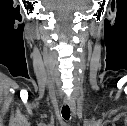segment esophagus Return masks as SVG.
I'll use <instances>...</instances> for the list:
<instances>
[{
    "mask_svg": "<svg viewBox=\"0 0 127 126\" xmlns=\"http://www.w3.org/2000/svg\"><path fill=\"white\" fill-rule=\"evenodd\" d=\"M65 104H67L70 107L73 114L76 113V105H75V102L73 100H70V99L66 98L65 99Z\"/></svg>",
    "mask_w": 127,
    "mask_h": 126,
    "instance_id": "obj_1",
    "label": "esophagus"
}]
</instances>
